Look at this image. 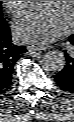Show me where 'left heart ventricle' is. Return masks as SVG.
I'll return each mask as SVG.
<instances>
[{
	"instance_id": "1",
	"label": "left heart ventricle",
	"mask_w": 74,
	"mask_h": 122,
	"mask_svg": "<svg viewBox=\"0 0 74 122\" xmlns=\"http://www.w3.org/2000/svg\"><path fill=\"white\" fill-rule=\"evenodd\" d=\"M44 5H53L57 7L62 16L70 22L72 17L71 1H42Z\"/></svg>"
}]
</instances>
